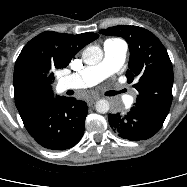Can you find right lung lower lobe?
<instances>
[{"label": "right lung lower lobe", "instance_id": "1", "mask_svg": "<svg viewBox=\"0 0 187 187\" xmlns=\"http://www.w3.org/2000/svg\"><path fill=\"white\" fill-rule=\"evenodd\" d=\"M87 104L71 97H58L22 118L29 134L41 146L65 150L84 134Z\"/></svg>", "mask_w": 187, "mask_h": 187}]
</instances>
